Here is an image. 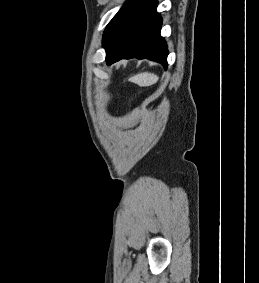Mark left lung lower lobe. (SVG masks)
I'll return each instance as SVG.
<instances>
[{"label":"left lung lower lobe","instance_id":"obj_1","mask_svg":"<svg viewBox=\"0 0 259 283\" xmlns=\"http://www.w3.org/2000/svg\"><path fill=\"white\" fill-rule=\"evenodd\" d=\"M157 0H128L103 34L107 65L121 59H151L167 68V44L160 36Z\"/></svg>","mask_w":259,"mask_h":283}]
</instances>
